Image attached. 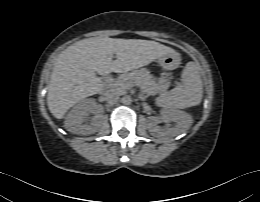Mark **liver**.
<instances>
[{"instance_id":"obj_1","label":"liver","mask_w":260,"mask_h":202,"mask_svg":"<svg viewBox=\"0 0 260 202\" xmlns=\"http://www.w3.org/2000/svg\"><path fill=\"white\" fill-rule=\"evenodd\" d=\"M172 52V48L150 40L109 37L80 40L58 57L48 86V108L55 118L62 119L76 103L103 89L96 73L128 72ZM114 54L116 60H112Z\"/></svg>"}]
</instances>
